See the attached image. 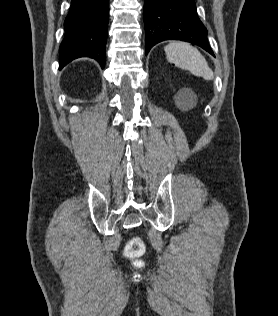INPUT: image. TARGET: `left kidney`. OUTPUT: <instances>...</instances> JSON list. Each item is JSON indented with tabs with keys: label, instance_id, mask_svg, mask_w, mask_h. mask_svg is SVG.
Instances as JSON below:
<instances>
[{
	"label": "left kidney",
	"instance_id": "5707ae66",
	"mask_svg": "<svg viewBox=\"0 0 278 316\" xmlns=\"http://www.w3.org/2000/svg\"><path fill=\"white\" fill-rule=\"evenodd\" d=\"M181 95L189 96V95H191V92H190V90L186 89V90L181 91Z\"/></svg>",
	"mask_w": 278,
	"mask_h": 316
}]
</instances>
